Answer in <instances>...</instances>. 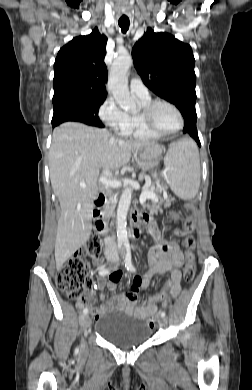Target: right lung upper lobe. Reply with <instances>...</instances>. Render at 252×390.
Wrapping results in <instances>:
<instances>
[{
    "label": "right lung upper lobe",
    "mask_w": 252,
    "mask_h": 390,
    "mask_svg": "<svg viewBox=\"0 0 252 390\" xmlns=\"http://www.w3.org/2000/svg\"><path fill=\"white\" fill-rule=\"evenodd\" d=\"M107 38L97 28L62 47L54 63L52 101L71 97L106 98L104 63Z\"/></svg>",
    "instance_id": "right-lung-upper-lobe-1"
}]
</instances>
